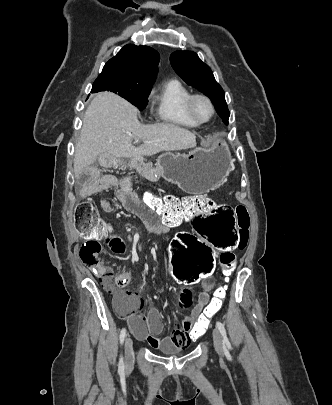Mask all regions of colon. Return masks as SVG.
<instances>
[{
	"instance_id": "obj_1",
	"label": "colon",
	"mask_w": 332,
	"mask_h": 405,
	"mask_svg": "<svg viewBox=\"0 0 332 405\" xmlns=\"http://www.w3.org/2000/svg\"><path fill=\"white\" fill-rule=\"evenodd\" d=\"M139 197L145 208H150L155 216L167 223L187 221L197 213L198 220H194L190 231L175 234L171 241L172 253L165 258L171 264V280L179 287H197L198 281H208L209 275H214L215 257H219L224 284L218 287L209 306L198 311L194 329L189 331L190 342H201L203 331H207L209 320L219 311L226 296L225 282L235 268V249L243 250L247 246L248 211L243 206L231 207L229 202H218L216 205L211 198L203 195H154L147 190ZM207 209L214 211H202ZM75 226L86 238L79 251L81 261L97 272L102 271L104 260L98 238L103 237L110 226L87 200L76 205ZM113 245L111 256H124V247H120L118 241ZM104 282L114 293L116 307L126 312L134 301V295L122 291L117 276L108 270L104 272Z\"/></svg>"
}]
</instances>
